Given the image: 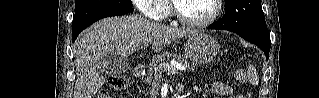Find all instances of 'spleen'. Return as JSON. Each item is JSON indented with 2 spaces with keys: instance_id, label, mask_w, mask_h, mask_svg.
Here are the masks:
<instances>
[{
  "instance_id": "3e777b00",
  "label": "spleen",
  "mask_w": 319,
  "mask_h": 98,
  "mask_svg": "<svg viewBox=\"0 0 319 98\" xmlns=\"http://www.w3.org/2000/svg\"><path fill=\"white\" fill-rule=\"evenodd\" d=\"M247 74H248L250 82L253 85H258L259 77H258V73H257V71H256L254 66H252V65L248 66Z\"/></svg>"
}]
</instances>
